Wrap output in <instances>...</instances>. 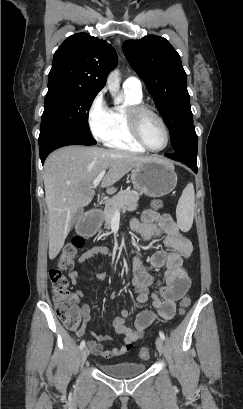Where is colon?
<instances>
[{"label": "colon", "instance_id": "5ec220e1", "mask_svg": "<svg viewBox=\"0 0 243 409\" xmlns=\"http://www.w3.org/2000/svg\"><path fill=\"white\" fill-rule=\"evenodd\" d=\"M151 206L154 210H160L163 207V203L161 200H153ZM84 244L85 240L83 237L75 236L59 254L58 267L50 271L51 293L56 315L63 325L70 331H75L77 329L78 324L82 319V314L78 305L70 296L68 282L63 271H68L73 268L76 253L83 248ZM190 304V298L183 297L180 300L179 313L183 314ZM150 354V349L147 347L142 348L139 352L142 359H148Z\"/></svg>", "mask_w": 243, "mask_h": 409}]
</instances>
